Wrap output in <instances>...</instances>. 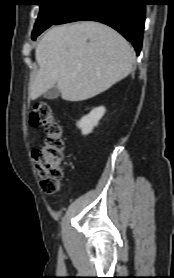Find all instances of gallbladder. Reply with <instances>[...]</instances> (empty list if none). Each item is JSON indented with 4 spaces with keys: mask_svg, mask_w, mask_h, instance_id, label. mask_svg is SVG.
I'll list each match as a JSON object with an SVG mask.
<instances>
[{
    "mask_svg": "<svg viewBox=\"0 0 174 278\" xmlns=\"http://www.w3.org/2000/svg\"><path fill=\"white\" fill-rule=\"evenodd\" d=\"M59 96V90L56 86L52 87L43 94V97L49 100H54Z\"/></svg>",
    "mask_w": 174,
    "mask_h": 278,
    "instance_id": "bac80fb5",
    "label": "gallbladder"
}]
</instances>
